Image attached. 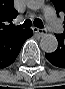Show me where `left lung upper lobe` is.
<instances>
[{
    "instance_id": "obj_1",
    "label": "left lung upper lobe",
    "mask_w": 65,
    "mask_h": 89,
    "mask_svg": "<svg viewBox=\"0 0 65 89\" xmlns=\"http://www.w3.org/2000/svg\"><path fill=\"white\" fill-rule=\"evenodd\" d=\"M56 13H65V0H52ZM64 33H65V22H64Z\"/></svg>"
}]
</instances>
